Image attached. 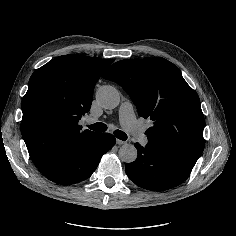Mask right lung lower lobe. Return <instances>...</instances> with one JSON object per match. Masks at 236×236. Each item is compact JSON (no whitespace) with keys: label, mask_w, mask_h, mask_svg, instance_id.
<instances>
[{"label":"right lung lower lobe","mask_w":236,"mask_h":236,"mask_svg":"<svg viewBox=\"0 0 236 236\" xmlns=\"http://www.w3.org/2000/svg\"><path fill=\"white\" fill-rule=\"evenodd\" d=\"M109 133H93L68 147L56 164L44 174L49 180L70 185L89 178L103 154L115 145Z\"/></svg>","instance_id":"right-lung-lower-lobe-1"}]
</instances>
